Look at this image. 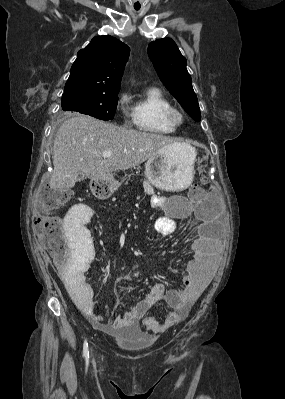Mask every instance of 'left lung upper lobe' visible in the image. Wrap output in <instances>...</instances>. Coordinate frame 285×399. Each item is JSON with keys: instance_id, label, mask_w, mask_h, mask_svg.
I'll list each match as a JSON object with an SVG mask.
<instances>
[{"instance_id": "obj_1", "label": "left lung upper lobe", "mask_w": 285, "mask_h": 399, "mask_svg": "<svg viewBox=\"0 0 285 399\" xmlns=\"http://www.w3.org/2000/svg\"><path fill=\"white\" fill-rule=\"evenodd\" d=\"M148 55L164 86L184 110L199 122L201 113L191 77L186 68L187 61L176 43L170 38L153 41L148 45Z\"/></svg>"}]
</instances>
